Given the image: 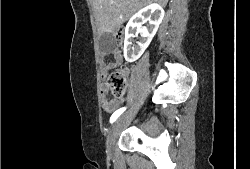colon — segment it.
<instances>
[{"instance_id": "colon-1", "label": "colon", "mask_w": 250, "mask_h": 169, "mask_svg": "<svg viewBox=\"0 0 250 169\" xmlns=\"http://www.w3.org/2000/svg\"><path fill=\"white\" fill-rule=\"evenodd\" d=\"M111 41L107 42V44H114L118 47H122L124 43L125 34L123 29H119L117 31L112 32ZM108 82L110 86V90L112 95L119 99L125 95L126 92V77L124 72L116 71L110 74L108 77Z\"/></svg>"}]
</instances>
